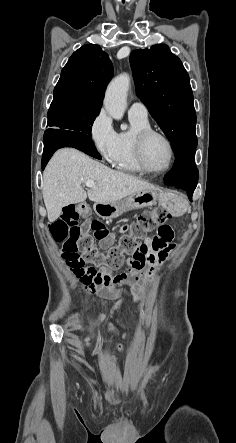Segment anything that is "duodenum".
Segmentation results:
<instances>
[{"instance_id": "obj_1", "label": "duodenum", "mask_w": 236, "mask_h": 443, "mask_svg": "<svg viewBox=\"0 0 236 443\" xmlns=\"http://www.w3.org/2000/svg\"><path fill=\"white\" fill-rule=\"evenodd\" d=\"M105 209H106V206L99 205V206L96 207L97 213L99 215H103V216L106 215Z\"/></svg>"}]
</instances>
